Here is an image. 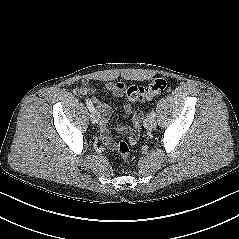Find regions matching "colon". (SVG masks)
Listing matches in <instances>:
<instances>
[{
  "label": "colon",
  "instance_id": "obj_1",
  "mask_svg": "<svg viewBox=\"0 0 239 239\" xmlns=\"http://www.w3.org/2000/svg\"><path fill=\"white\" fill-rule=\"evenodd\" d=\"M168 81L166 78H156L146 86L132 85L125 91V97L130 102L150 100L166 89ZM140 117L137 116L134 126V133L139 134ZM118 155L123 161H127L130 157V148L124 141L116 144Z\"/></svg>",
  "mask_w": 239,
  "mask_h": 239
}]
</instances>
